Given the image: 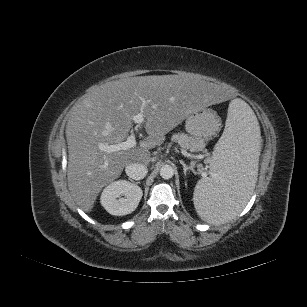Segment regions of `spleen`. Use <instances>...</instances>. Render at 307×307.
I'll use <instances>...</instances> for the list:
<instances>
[{
    "mask_svg": "<svg viewBox=\"0 0 307 307\" xmlns=\"http://www.w3.org/2000/svg\"><path fill=\"white\" fill-rule=\"evenodd\" d=\"M259 150L257 118L246 103L235 99L210 160V176L194 189V207L202 220L223 224L242 211L257 180Z\"/></svg>",
    "mask_w": 307,
    "mask_h": 307,
    "instance_id": "3e777b00",
    "label": "spleen"
}]
</instances>
